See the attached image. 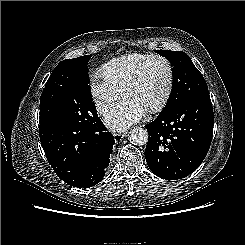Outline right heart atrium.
<instances>
[{"instance_id":"right-heart-atrium-1","label":"right heart atrium","mask_w":245,"mask_h":245,"mask_svg":"<svg viewBox=\"0 0 245 245\" xmlns=\"http://www.w3.org/2000/svg\"><path fill=\"white\" fill-rule=\"evenodd\" d=\"M89 90L99 113H104L123 95V90L113 85L101 71H95L90 75Z\"/></svg>"}]
</instances>
